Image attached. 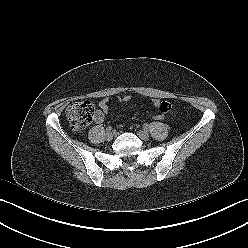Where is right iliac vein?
I'll list each match as a JSON object with an SVG mask.
<instances>
[{
	"mask_svg": "<svg viewBox=\"0 0 248 248\" xmlns=\"http://www.w3.org/2000/svg\"><path fill=\"white\" fill-rule=\"evenodd\" d=\"M113 137H114V133L113 132L109 131V132L106 133V139L108 141L112 140Z\"/></svg>",
	"mask_w": 248,
	"mask_h": 248,
	"instance_id": "obj_1",
	"label": "right iliac vein"
}]
</instances>
